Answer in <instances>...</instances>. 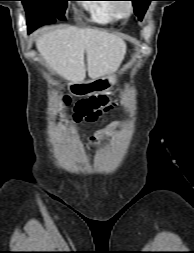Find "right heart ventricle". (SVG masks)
<instances>
[{"mask_svg":"<svg viewBox=\"0 0 194 253\" xmlns=\"http://www.w3.org/2000/svg\"><path fill=\"white\" fill-rule=\"evenodd\" d=\"M112 0H98L84 3L93 21L101 24H113L120 20Z\"/></svg>","mask_w":194,"mask_h":253,"instance_id":"e07e8e85","label":"right heart ventricle"}]
</instances>
